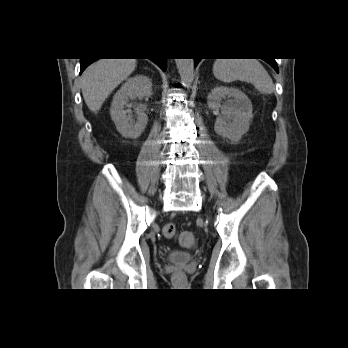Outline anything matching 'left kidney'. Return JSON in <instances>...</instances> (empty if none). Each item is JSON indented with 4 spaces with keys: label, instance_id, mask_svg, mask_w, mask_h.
<instances>
[{
    "label": "left kidney",
    "instance_id": "obj_1",
    "mask_svg": "<svg viewBox=\"0 0 348 348\" xmlns=\"http://www.w3.org/2000/svg\"><path fill=\"white\" fill-rule=\"evenodd\" d=\"M223 100L226 101L222 105ZM207 104L212 110L222 111V116L215 121V132L233 142L241 140L253 117L252 103L248 96L234 87L218 86L208 94Z\"/></svg>",
    "mask_w": 348,
    "mask_h": 348
}]
</instances>
